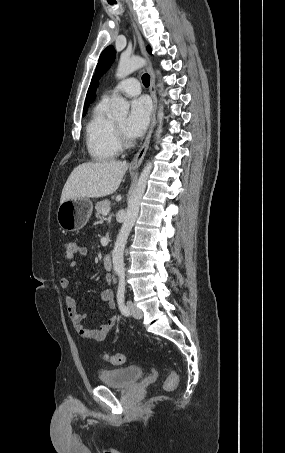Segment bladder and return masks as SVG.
I'll list each match as a JSON object with an SVG mask.
<instances>
[{"label": "bladder", "mask_w": 285, "mask_h": 453, "mask_svg": "<svg viewBox=\"0 0 285 453\" xmlns=\"http://www.w3.org/2000/svg\"><path fill=\"white\" fill-rule=\"evenodd\" d=\"M144 376V369L131 365L116 369H101L98 379L101 384L114 388H128Z\"/></svg>", "instance_id": "1"}]
</instances>
